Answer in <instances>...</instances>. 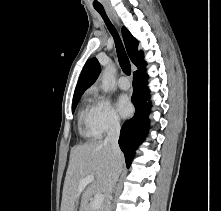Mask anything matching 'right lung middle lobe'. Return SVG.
<instances>
[{
    "instance_id": "1",
    "label": "right lung middle lobe",
    "mask_w": 221,
    "mask_h": 211,
    "mask_svg": "<svg viewBox=\"0 0 221 211\" xmlns=\"http://www.w3.org/2000/svg\"><path fill=\"white\" fill-rule=\"evenodd\" d=\"M80 97H81V96L73 97L72 112L75 111V108H76V106H77V104H78V101H79Z\"/></svg>"
}]
</instances>
